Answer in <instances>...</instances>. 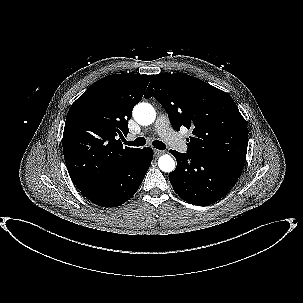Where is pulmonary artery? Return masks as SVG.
<instances>
[{
  "label": "pulmonary artery",
  "mask_w": 303,
  "mask_h": 303,
  "mask_svg": "<svg viewBox=\"0 0 303 303\" xmlns=\"http://www.w3.org/2000/svg\"><path fill=\"white\" fill-rule=\"evenodd\" d=\"M154 130L167 142V144L181 153L187 151V144L173 131L166 116H159L155 122ZM133 137L130 136L129 139Z\"/></svg>",
  "instance_id": "pulmonary-artery-1"
}]
</instances>
